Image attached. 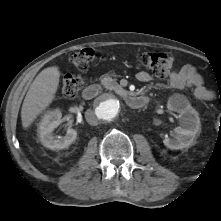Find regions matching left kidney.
<instances>
[{"label":"left kidney","instance_id":"1","mask_svg":"<svg viewBox=\"0 0 221 221\" xmlns=\"http://www.w3.org/2000/svg\"><path fill=\"white\" fill-rule=\"evenodd\" d=\"M169 110L179 113L180 126L175 128V139L165 138L164 145L172 150L190 147L201 131L198 112L185 96L177 94L168 99Z\"/></svg>","mask_w":221,"mask_h":221}]
</instances>
